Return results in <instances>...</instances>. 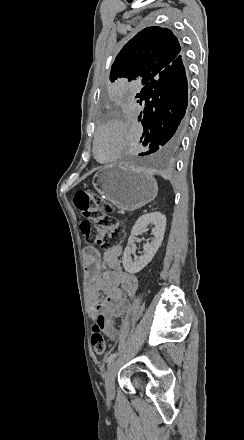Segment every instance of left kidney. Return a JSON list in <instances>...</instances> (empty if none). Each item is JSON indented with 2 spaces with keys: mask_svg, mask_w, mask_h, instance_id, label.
<instances>
[{
  "mask_svg": "<svg viewBox=\"0 0 244 440\" xmlns=\"http://www.w3.org/2000/svg\"><path fill=\"white\" fill-rule=\"evenodd\" d=\"M149 224H154L155 228H153L151 234H153L154 238L152 242H147L143 246V254L139 256V258H135L132 260L131 254L133 252V244L134 238L136 234H141V232H147ZM166 228V218L164 214L161 212H152V214H144V216H140L138 218L136 224H134L131 230V236L128 238V246H126L123 254V266L126 272L129 274H137L140 270H143L149 262H151L152 258H154L158 248L161 246V242H163L164 234Z\"/></svg>",
  "mask_w": 244,
  "mask_h": 440,
  "instance_id": "obj_1",
  "label": "left kidney"
}]
</instances>
